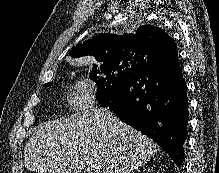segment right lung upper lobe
<instances>
[{
  "label": "right lung upper lobe",
  "mask_w": 219,
  "mask_h": 173,
  "mask_svg": "<svg viewBox=\"0 0 219 173\" xmlns=\"http://www.w3.org/2000/svg\"><path fill=\"white\" fill-rule=\"evenodd\" d=\"M70 55H94L98 64L94 65L92 76L101 66L108 64L131 63L138 67L143 62L155 59L160 65H172L177 59V49L175 41L163 29L143 25L136 34H98L77 45Z\"/></svg>",
  "instance_id": "1"
}]
</instances>
